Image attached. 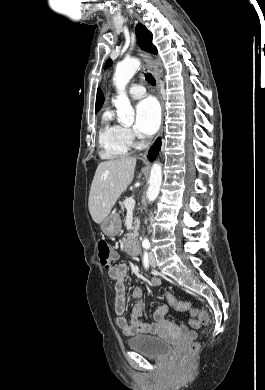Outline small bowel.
I'll return each instance as SVG.
<instances>
[{
  "mask_svg": "<svg viewBox=\"0 0 265 390\" xmlns=\"http://www.w3.org/2000/svg\"><path fill=\"white\" fill-rule=\"evenodd\" d=\"M115 259L118 258L117 254H114ZM128 272V265L120 263L108 270L109 277L115 281V311L117 314L116 324L118 328L127 336L138 333H156L160 326L165 322V316L168 311L167 305H162L153 313V323H145L141 320L144 315V304L142 301L144 290L142 287H135L132 296L138 300L134 305L130 321L124 316L125 311V278ZM153 284L161 286L162 280L159 278L153 279ZM192 329H188L185 326L179 327V332L188 338L196 337V330L200 327V322L193 320L191 322Z\"/></svg>",
  "mask_w": 265,
  "mask_h": 390,
  "instance_id": "1",
  "label": "small bowel"
}]
</instances>
